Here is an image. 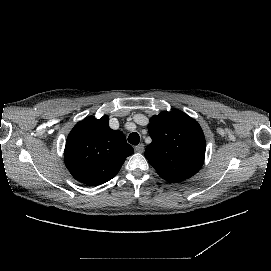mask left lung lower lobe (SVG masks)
Instances as JSON below:
<instances>
[{
  "mask_svg": "<svg viewBox=\"0 0 271 271\" xmlns=\"http://www.w3.org/2000/svg\"><path fill=\"white\" fill-rule=\"evenodd\" d=\"M178 181H181V180H176V181H173V182H178Z\"/></svg>",
  "mask_w": 271,
  "mask_h": 271,
  "instance_id": "0a47b994",
  "label": "left lung lower lobe"
}]
</instances>
